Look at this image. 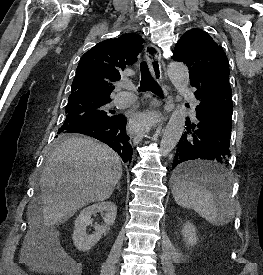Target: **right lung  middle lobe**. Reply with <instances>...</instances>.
<instances>
[{"label": "right lung middle lobe", "mask_w": 263, "mask_h": 275, "mask_svg": "<svg viewBox=\"0 0 263 275\" xmlns=\"http://www.w3.org/2000/svg\"><path fill=\"white\" fill-rule=\"evenodd\" d=\"M110 102V98L92 94L70 96L66 106V119L57 132L56 142L69 139L68 131L75 126L109 120L113 117V111L107 108Z\"/></svg>", "instance_id": "obj_1"}]
</instances>
